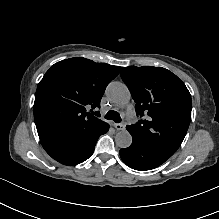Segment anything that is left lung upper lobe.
<instances>
[{"label":"left lung upper lobe","mask_w":219,"mask_h":219,"mask_svg":"<svg viewBox=\"0 0 219 219\" xmlns=\"http://www.w3.org/2000/svg\"><path fill=\"white\" fill-rule=\"evenodd\" d=\"M121 78L143 117L126 129L132 137L171 157L180 147L191 121L192 101L185 84L162 67H123Z\"/></svg>","instance_id":"obj_1"}]
</instances>
